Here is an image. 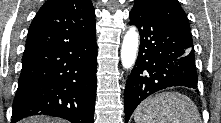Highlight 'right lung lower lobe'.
Returning a JSON list of instances; mask_svg holds the SVG:
<instances>
[{
	"mask_svg": "<svg viewBox=\"0 0 221 123\" xmlns=\"http://www.w3.org/2000/svg\"><path fill=\"white\" fill-rule=\"evenodd\" d=\"M96 33L61 46L25 51L12 123L36 114L93 123Z\"/></svg>",
	"mask_w": 221,
	"mask_h": 123,
	"instance_id": "98d812e1",
	"label": "right lung lower lobe"
}]
</instances>
